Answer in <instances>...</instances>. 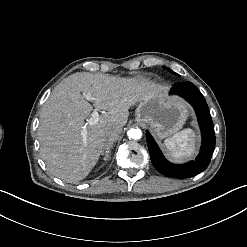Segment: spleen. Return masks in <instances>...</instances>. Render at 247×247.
Here are the masks:
<instances>
[{"mask_svg":"<svg viewBox=\"0 0 247 247\" xmlns=\"http://www.w3.org/2000/svg\"><path fill=\"white\" fill-rule=\"evenodd\" d=\"M197 136L198 135H197V132L195 130L188 128V129H185V130H182V131L176 133L171 138L165 139L163 142V147L164 148L168 147L170 142H172V141H176L177 143L182 144L183 146H186V145L192 146L194 149V152H189L188 155L184 159L179 158L178 160H176L177 163H182L185 159L189 160L196 154ZM165 155L171 161L173 158L177 159V156H173L172 153H168L166 149H165Z\"/></svg>","mask_w":247,"mask_h":247,"instance_id":"1","label":"spleen"}]
</instances>
